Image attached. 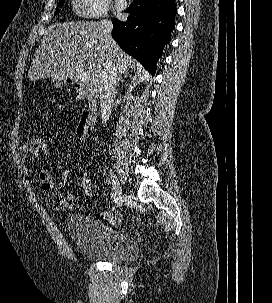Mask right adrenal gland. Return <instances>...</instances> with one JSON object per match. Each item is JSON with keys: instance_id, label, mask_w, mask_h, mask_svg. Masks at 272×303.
<instances>
[{"instance_id": "1", "label": "right adrenal gland", "mask_w": 272, "mask_h": 303, "mask_svg": "<svg viewBox=\"0 0 272 303\" xmlns=\"http://www.w3.org/2000/svg\"><path fill=\"white\" fill-rule=\"evenodd\" d=\"M123 73H119V75H118V78H117V85L120 83V81L121 82H123ZM124 77L126 78L127 77V74H124Z\"/></svg>"}]
</instances>
